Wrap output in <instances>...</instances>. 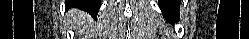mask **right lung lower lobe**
Wrapping results in <instances>:
<instances>
[{
	"mask_svg": "<svg viewBox=\"0 0 249 39\" xmlns=\"http://www.w3.org/2000/svg\"><path fill=\"white\" fill-rule=\"evenodd\" d=\"M70 4L80 8L81 10L87 11L92 16H96L100 9L101 0H78L73 1Z\"/></svg>",
	"mask_w": 249,
	"mask_h": 39,
	"instance_id": "98d812e1",
	"label": "right lung lower lobe"
}]
</instances>
